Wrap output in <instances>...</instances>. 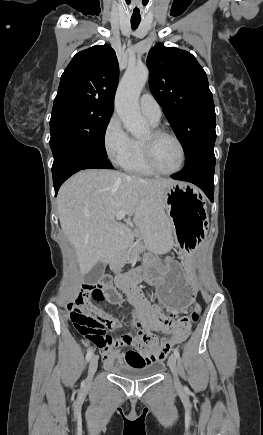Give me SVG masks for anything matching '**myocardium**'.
<instances>
[{
  "mask_svg": "<svg viewBox=\"0 0 263 435\" xmlns=\"http://www.w3.org/2000/svg\"><path fill=\"white\" fill-rule=\"evenodd\" d=\"M150 132H151V140L149 141L142 140L144 156L148 167L155 174L164 175V176L173 175L180 172L184 168L186 164V158H187L186 149L181 139L176 134L162 128H153ZM161 137H169L173 139L178 144L181 150L180 166L173 171H163L155 163L154 155H153V140Z\"/></svg>",
  "mask_w": 263,
  "mask_h": 435,
  "instance_id": "myocardium-1",
  "label": "myocardium"
}]
</instances>
